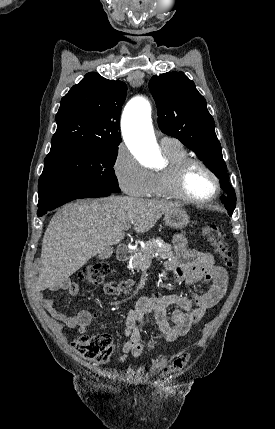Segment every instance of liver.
<instances>
[{"instance_id":"obj_1","label":"liver","mask_w":275,"mask_h":429,"mask_svg":"<svg viewBox=\"0 0 275 429\" xmlns=\"http://www.w3.org/2000/svg\"><path fill=\"white\" fill-rule=\"evenodd\" d=\"M179 204L128 196L78 200L52 217L42 240L39 289H57L105 247L118 244L124 228L137 233L154 227L167 211Z\"/></svg>"}]
</instances>
